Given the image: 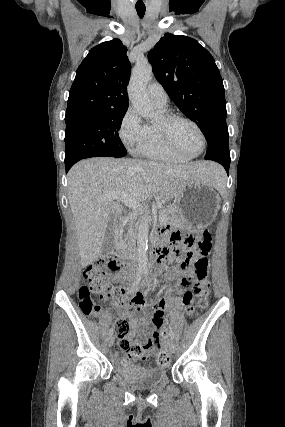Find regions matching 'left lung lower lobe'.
I'll list each match as a JSON object with an SVG mask.
<instances>
[{
    "label": "left lung lower lobe",
    "instance_id": "1",
    "mask_svg": "<svg viewBox=\"0 0 285 427\" xmlns=\"http://www.w3.org/2000/svg\"><path fill=\"white\" fill-rule=\"evenodd\" d=\"M206 160H213L220 163L229 173L230 153H229V135H216L210 138L208 149L204 157Z\"/></svg>",
    "mask_w": 285,
    "mask_h": 427
}]
</instances>
